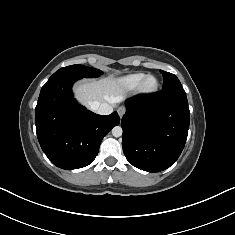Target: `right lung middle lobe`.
Returning a JSON list of instances; mask_svg holds the SVG:
<instances>
[{"mask_svg": "<svg viewBox=\"0 0 235 235\" xmlns=\"http://www.w3.org/2000/svg\"><path fill=\"white\" fill-rule=\"evenodd\" d=\"M102 74V71L95 69V68H90L86 67L83 65H71L67 67H63L56 71L51 77L56 78V77H69V76H76L78 78L82 77H97Z\"/></svg>", "mask_w": 235, "mask_h": 235, "instance_id": "obj_1", "label": "right lung middle lobe"}]
</instances>
